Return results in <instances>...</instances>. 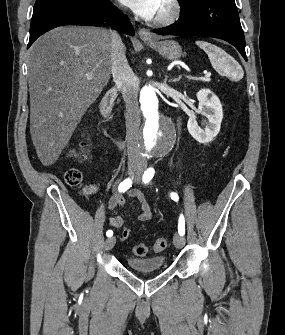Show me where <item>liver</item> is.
<instances>
[{"label":"liver","mask_w":285,"mask_h":335,"mask_svg":"<svg viewBox=\"0 0 285 335\" xmlns=\"http://www.w3.org/2000/svg\"><path fill=\"white\" fill-rule=\"evenodd\" d=\"M111 30L66 26L28 52L30 132L43 166H52L111 74ZM85 74H92L87 80Z\"/></svg>","instance_id":"obj_1"}]
</instances>
